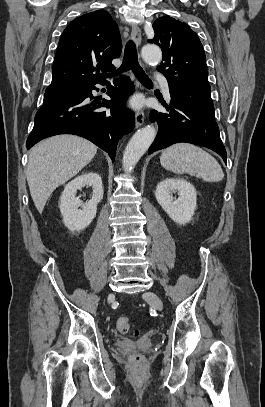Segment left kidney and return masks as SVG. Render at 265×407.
<instances>
[{
	"label": "left kidney",
	"mask_w": 265,
	"mask_h": 407,
	"mask_svg": "<svg viewBox=\"0 0 265 407\" xmlns=\"http://www.w3.org/2000/svg\"><path fill=\"white\" fill-rule=\"evenodd\" d=\"M176 192L178 199L172 196ZM155 196L159 205L175 223L184 225L192 220L197 192L190 182L181 178H167L157 185Z\"/></svg>",
	"instance_id": "obj_1"
}]
</instances>
